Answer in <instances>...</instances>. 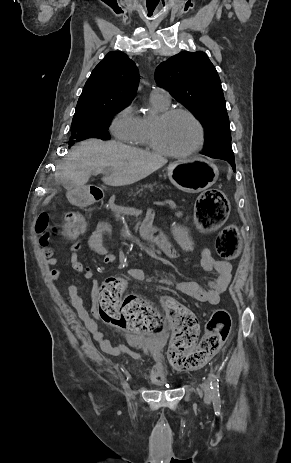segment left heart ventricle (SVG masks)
<instances>
[{
  "label": "left heart ventricle",
  "instance_id": "b2bd125f",
  "mask_svg": "<svg viewBox=\"0 0 291 463\" xmlns=\"http://www.w3.org/2000/svg\"><path fill=\"white\" fill-rule=\"evenodd\" d=\"M158 134L160 142L175 152L192 148L199 136L196 124L185 115H177L160 123Z\"/></svg>",
  "mask_w": 291,
  "mask_h": 463
}]
</instances>
